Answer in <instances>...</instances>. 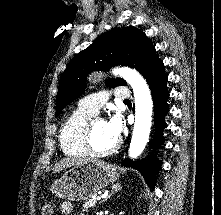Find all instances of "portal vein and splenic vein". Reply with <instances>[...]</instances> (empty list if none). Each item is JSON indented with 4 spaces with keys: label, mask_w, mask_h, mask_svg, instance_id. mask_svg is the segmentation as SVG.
I'll return each mask as SVG.
<instances>
[{
    "label": "portal vein and splenic vein",
    "mask_w": 221,
    "mask_h": 215,
    "mask_svg": "<svg viewBox=\"0 0 221 215\" xmlns=\"http://www.w3.org/2000/svg\"><path fill=\"white\" fill-rule=\"evenodd\" d=\"M96 200H101V197L100 196H96L94 197Z\"/></svg>",
    "instance_id": "18ae733b"
}]
</instances>
